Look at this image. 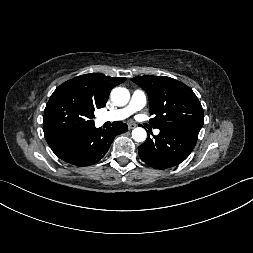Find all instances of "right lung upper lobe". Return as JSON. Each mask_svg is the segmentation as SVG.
<instances>
[{
  "mask_svg": "<svg viewBox=\"0 0 253 253\" xmlns=\"http://www.w3.org/2000/svg\"><path fill=\"white\" fill-rule=\"evenodd\" d=\"M125 80L126 78H115L101 73H91L75 77L62 85L74 88L91 105L99 109L106 105L112 88Z\"/></svg>",
  "mask_w": 253,
  "mask_h": 253,
  "instance_id": "obj_1",
  "label": "right lung upper lobe"
}]
</instances>
